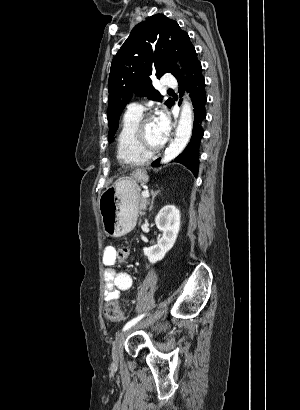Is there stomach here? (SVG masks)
<instances>
[{"mask_svg":"<svg viewBox=\"0 0 300 410\" xmlns=\"http://www.w3.org/2000/svg\"><path fill=\"white\" fill-rule=\"evenodd\" d=\"M147 180L145 172L136 170L131 177L118 179L101 194L98 207L107 236H123L135 227L140 199L137 182Z\"/></svg>","mask_w":300,"mask_h":410,"instance_id":"obj_1","label":"stomach"}]
</instances>
